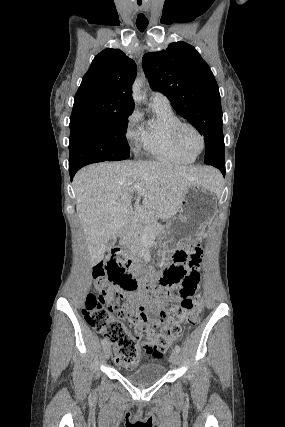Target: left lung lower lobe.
I'll return each mask as SVG.
<instances>
[{
    "mask_svg": "<svg viewBox=\"0 0 285 427\" xmlns=\"http://www.w3.org/2000/svg\"><path fill=\"white\" fill-rule=\"evenodd\" d=\"M213 166L218 168L222 174L225 176L226 170H225V164H224V157L217 158L213 161Z\"/></svg>",
    "mask_w": 285,
    "mask_h": 427,
    "instance_id": "obj_1",
    "label": "left lung lower lobe"
}]
</instances>
